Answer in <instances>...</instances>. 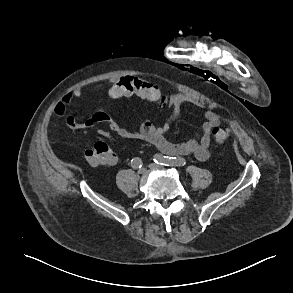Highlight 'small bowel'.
<instances>
[{"label":"small bowel","mask_w":293,"mask_h":293,"mask_svg":"<svg viewBox=\"0 0 293 293\" xmlns=\"http://www.w3.org/2000/svg\"><path fill=\"white\" fill-rule=\"evenodd\" d=\"M102 86L98 85L93 88L94 91H100ZM146 90L157 94L155 100H149L140 96V91ZM84 88L77 87L63 96L60 102L54 107V113L58 117H65L67 126L73 130H79L85 127H96L100 136L110 142L115 140L113 134L126 140L145 141L156 146L164 154L171 156L193 155L199 161H206L210 157L211 131L219 123L218 115L207 110L204 114L205 121L202 125V132L197 138L189 139L184 142L174 143L167 138L172 124L177 121L182 112L184 104L189 103L194 106H200L192 97L183 93H173L171 95L163 94L159 88L150 82L132 77H120L108 84L107 94L112 99L128 98L140 96L148 101H158L170 110L166 122L160 126L153 125L149 120H143L138 130L131 131L121 126L110 113L98 111L94 113L85 122H79L73 115H66V106L74 98L81 97ZM117 163L115 156L114 162L108 167Z\"/></svg>","instance_id":"c3829d8e"}]
</instances>
